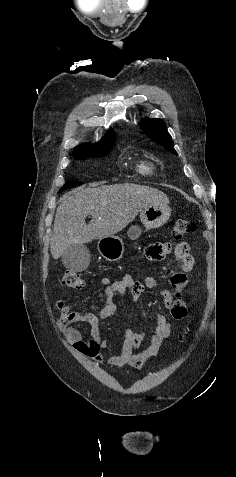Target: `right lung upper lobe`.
I'll list each match as a JSON object with an SVG mask.
<instances>
[{
    "label": "right lung upper lobe",
    "instance_id": "obj_1",
    "mask_svg": "<svg viewBox=\"0 0 236 477\" xmlns=\"http://www.w3.org/2000/svg\"><path fill=\"white\" fill-rule=\"evenodd\" d=\"M115 142V134L113 129H110V131L99 141L98 143H95L93 146L91 143H86L84 145H80L79 147L75 148L74 156L79 157V156H85V155H91L95 152H98L103 149H110L113 147Z\"/></svg>",
    "mask_w": 236,
    "mask_h": 477
}]
</instances>
